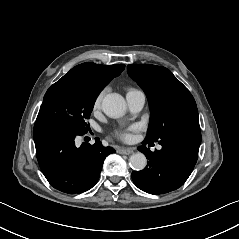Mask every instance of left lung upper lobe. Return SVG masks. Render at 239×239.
Segmentation results:
<instances>
[{
    "instance_id": "5c2ea615",
    "label": "left lung upper lobe",
    "mask_w": 239,
    "mask_h": 239,
    "mask_svg": "<svg viewBox=\"0 0 239 239\" xmlns=\"http://www.w3.org/2000/svg\"><path fill=\"white\" fill-rule=\"evenodd\" d=\"M129 75L144 90L151 111L147 141L184 126L199 127L196 102L189 90L165 67L150 64L127 66Z\"/></svg>"
}]
</instances>
